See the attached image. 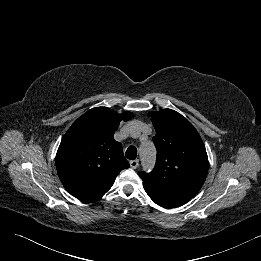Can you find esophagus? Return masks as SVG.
Returning a JSON list of instances; mask_svg holds the SVG:
<instances>
[{
    "instance_id": "1",
    "label": "esophagus",
    "mask_w": 261,
    "mask_h": 261,
    "mask_svg": "<svg viewBox=\"0 0 261 261\" xmlns=\"http://www.w3.org/2000/svg\"><path fill=\"white\" fill-rule=\"evenodd\" d=\"M138 166H139V161H138L137 159L130 161V167H131L132 169H136Z\"/></svg>"
}]
</instances>
